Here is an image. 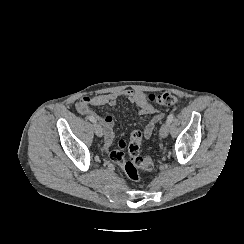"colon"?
<instances>
[{
    "instance_id": "1",
    "label": "colon",
    "mask_w": 244,
    "mask_h": 244,
    "mask_svg": "<svg viewBox=\"0 0 244 244\" xmlns=\"http://www.w3.org/2000/svg\"><path fill=\"white\" fill-rule=\"evenodd\" d=\"M147 101L149 103L166 106H174L180 103L178 96L168 92L149 93L147 95ZM142 142V132L136 129L131 132L127 144L123 140H118L109 153L110 161L118 165L131 182H138L141 177L140 172H145L153 168V158L141 153ZM125 148H127L128 160L124 158Z\"/></svg>"
}]
</instances>
